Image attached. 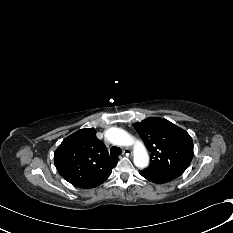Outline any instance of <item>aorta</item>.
Instances as JSON below:
<instances>
[{
  "instance_id": "obj_1",
  "label": "aorta",
  "mask_w": 233,
  "mask_h": 233,
  "mask_svg": "<svg viewBox=\"0 0 233 233\" xmlns=\"http://www.w3.org/2000/svg\"><path fill=\"white\" fill-rule=\"evenodd\" d=\"M106 139L116 146H133V162L140 169L149 164V155L145 145L121 128L112 127L105 133Z\"/></svg>"
}]
</instances>
